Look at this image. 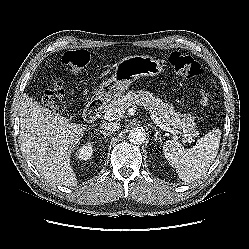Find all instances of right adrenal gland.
Wrapping results in <instances>:
<instances>
[{
    "instance_id": "1",
    "label": "right adrenal gland",
    "mask_w": 249,
    "mask_h": 249,
    "mask_svg": "<svg viewBox=\"0 0 249 249\" xmlns=\"http://www.w3.org/2000/svg\"><path fill=\"white\" fill-rule=\"evenodd\" d=\"M96 131H98V132H100L101 134H103L104 138H106L108 135H111V134H112V132L106 133L105 131L99 130V129H97Z\"/></svg>"
}]
</instances>
